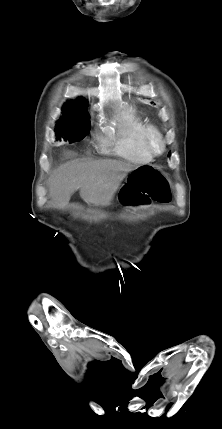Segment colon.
I'll list each match as a JSON object with an SVG mask.
<instances>
[{"label": "colon", "mask_w": 222, "mask_h": 429, "mask_svg": "<svg viewBox=\"0 0 222 429\" xmlns=\"http://www.w3.org/2000/svg\"><path fill=\"white\" fill-rule=\"evenodd\" d=\"M121 198L127 205H143L150 201L167 203L171 200V191L160 170L151 165H140L131 172L121 190Z\"/></svg>", "instance_id": "obj_1"}]
</instances>
